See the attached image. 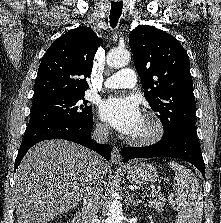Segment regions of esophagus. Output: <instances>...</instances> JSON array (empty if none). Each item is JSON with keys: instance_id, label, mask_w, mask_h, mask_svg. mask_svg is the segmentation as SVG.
<instances>
[{"instance_id": "esophagus-1", "label": "esophagus", "mask_w": 221, "mask_h": 223, "mask_svg": "<svg viewBox=\"0 0 221 223\" xmlns=\"http://www.w3.org/2000/svg\"><path fill=\"white\" fill-rule=\"evenodd\" d=\"M111 161L115 164H121L122 163V157L120 154V150L118 147L114 146L111 151Z\"/></svg>"}]
</instances>
